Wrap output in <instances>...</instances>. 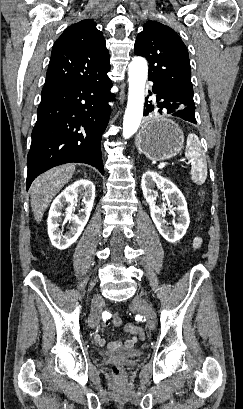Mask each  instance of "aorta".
<instances>
[{"label": "aorta", "mask_w": 243, "mask_h": 409, "mask_svg": "<svg viewBox=\"0 0 243 409\" xmlns=\"http://www.w3.org/2000/svg\"><path fill=\"white\" fill-rule=\"evenodd\" d=\"M128 75V102L122 133L125 139L136 133L143 116L145 83L148 76L146 60L143 57H134L128 66Z\"/></svg>", "instance_id": "obj_1"}]
</instances>
